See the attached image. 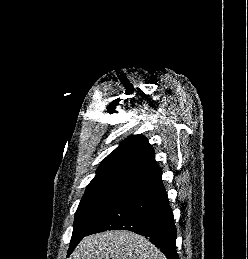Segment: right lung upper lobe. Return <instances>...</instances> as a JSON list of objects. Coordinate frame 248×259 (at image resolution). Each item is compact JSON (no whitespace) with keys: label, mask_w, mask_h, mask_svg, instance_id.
<instances>
[{"label":"right lung upper lobe","mask_w":248,"mask_h":259,"mask_svg":"<svg viewBox=\"0 0 248 259\" xmlns=\"http://www.w3.org/2000/svg\"><path fill=\"white\" fill-rule=\"evenodd\" d=\"M161 171L154 159V151L142 135L125 139L100 164L96 176L88 186L120 182L134 185Z\"/></svg>","instance_id":"obj_1"}]
</instances>
